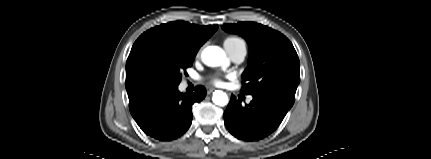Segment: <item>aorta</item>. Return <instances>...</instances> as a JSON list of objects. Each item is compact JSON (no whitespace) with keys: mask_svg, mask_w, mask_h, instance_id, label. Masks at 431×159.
Listing matches in <instances>:
<instances>
[{"mask_svg":"<svg viewBox=\"0 0 431 159\" xmlns=\"http://www.w3.org/2000/svg\"><path fill=\"white\" fill-rule=\"evenodd\" d=\"M202 61L208 66H219L226 60L225 52L218 46H209L202 52ZM212 101L219 106L228 104V96L223 91L214 92Z\"/></svg>","mask_w":431,"mask_h":159,"instance_id":"obj_1","label":"aorta"}]
</instances>
